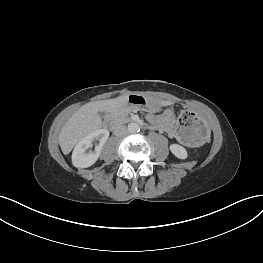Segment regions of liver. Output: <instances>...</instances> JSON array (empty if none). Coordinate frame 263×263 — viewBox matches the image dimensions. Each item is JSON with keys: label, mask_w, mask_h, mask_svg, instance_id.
Instances as JSON below:
<instances>
[{"label": "liver", "mask_w": 263, "mask_h": 263, "mask_svg": "<svg viewBox=\"0 0 263 263\" xmlns=\"http://www.w3.org/2000/svg\"><path fill=\"white\" fill-rule=\"evenodd\" d=\"M128 95L115 99L90 102L77 110L62 127L59 134V145L63 154H69L74 146L85 136L102 127V118L99 112H114L124 107L128 101ZM160 106H170L171 101H155Z\"/></svg>", "instance_id": "obj_1"}]
</instances>
